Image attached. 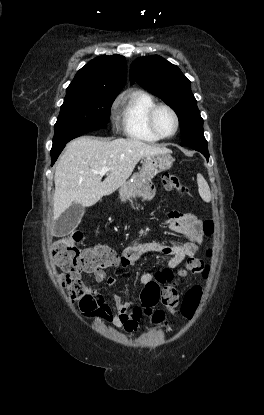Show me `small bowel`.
Masks as SVG:
<instances>
[{"instance_id": "small-bowel-1", "label": "small bowel", "mask_w": 264, "mask_h": 415, "mask_svg": "<svg viewBox=\"0 0 264 415\" xmlns=\"http://www.w3.org/2000/svg\"><path fill=\"white\" fill-rule=\"evenodd\" d=\"M165 225L173 232L181 234L187 238L183 244L171 243L163 245L156 241H147L137 244L126 245L120 254L118 265L122 268H129L135 265L136 261L146 253H159L169 257L166 267L174 269L185 259L192 258L199 250L203 242V230L200 220L192 217H181L176 211H170ZM106 268H87L85 272L93 273L95 280L99 283L106 281L107 286L115 284V279L106 276ZM152 273H144L140 277V283L146 285L154 281ZM98 304L96 314L102 319L110 321L118 329H123L128 333L137 332L140 328V320L143 309L140 305H133L124 302L120 296L113 295V304L109 306L101 294L95 293Z\"/></svg>"}]
</instances>
